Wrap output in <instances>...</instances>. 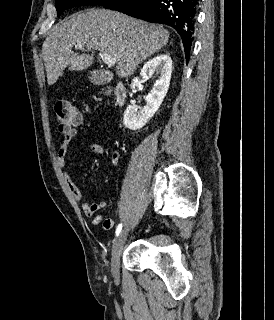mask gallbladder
<instances>
[{"label":"gallbladder","mask_w":274,"mask_h":320,"mask_svg":"<svg viewBox=\"0 0 274 320\" xmlns=\"http://www.w3.org/2000/svg\"><path fill=\"white\" fill-rule=\"evenodd\" d=\"M115 72H104L103 68H90L89 80L95 82L96 85H105L110 79H115Z\"/></svg>","instance_id":"bac80fb5"}]
</instances>
